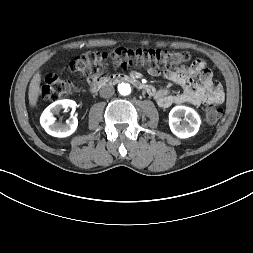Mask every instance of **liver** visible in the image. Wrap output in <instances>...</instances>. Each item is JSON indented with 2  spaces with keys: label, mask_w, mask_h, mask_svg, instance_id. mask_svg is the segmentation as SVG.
Segmentation results:
<instances>
[{
  "label": "liver",
  "mask_w": 253,
  "mask_h": 253,
  "mask_svg": "<svg viewBox=\"0 0 253 253\" xmlns=\"http://www.w3.org/2000/svg\"><path fill=\"white\" fill-rule=\"evenodd\" d=\"M40 83L41 74L40 72H36L30 82L28 91L29 104L31 107H35L38 102V98L41 92Z\"/></svg>",
  "instance_id": "6515ba94"
}]
</instances>
